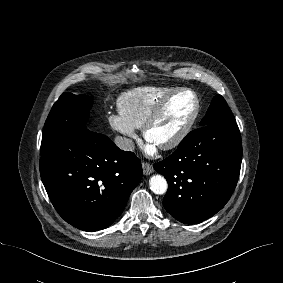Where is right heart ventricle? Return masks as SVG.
I'll list each match as a JSON object with an SVG mask.
<instances>
[{"label":"right heart ventricle","mask_w":283,"mask_h":283,"mask_svg":"<svg viewBox=\"0 0 283 283\" xmlns=\"http://www.w3.org/2000/svg\"><path fill=\"white\" fill-rule=\"evenodd\" d=\"M175 89L157 86L135 88L118 101V109L134 128H141L154 107Z\"/></svg>","instance_id":"1"}]
</instances>
